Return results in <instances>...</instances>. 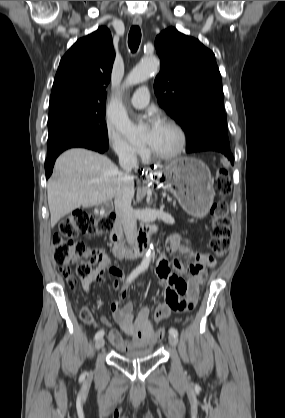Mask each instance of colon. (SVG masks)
<instances>
[{"label":"colon","mask_w":285,"mask_h":418,"mask_svg":"<svg viewBox=\"0 0 285 418\" xmlns=\"http://www.w3.org/2000/svg\"><path fill=\"white\" fill-rule=\"evenodd\" d=\"M224 176V168H219L214 177V189L221 196L227 195L230 190V184ZM210 214L212 226L209 247L212 254L206 256V266L212 268L215 265V259L223 257L229 249L230 219L226 202L221 199L214 203ZM116 222L117 218L114 214L96 219L84 210H74L61 220L58 230L52 237L54 259L61 273L67 275L69 274L68 269L76 266V273L80 278H89L93 267L103 263L104 260L100 255H94L90 261H86L84 259L85 246L76 239V236L78 234L88 236L105 234L113 229ZM69 284H71V281H69ZM185 306L187 309H192L194 302L190 301ZM164 334V329H158L156 340L162 338Z\"/></svg>","instance_id":"5ec220e1"}]
</instances>
